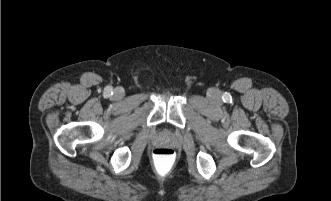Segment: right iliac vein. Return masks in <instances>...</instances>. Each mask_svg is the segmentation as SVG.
Segmentation results:
<instances>
[{
  "instance_id": "63e3f726",
  "label": "right iliac vein",
  "mask_w": 331,
  "mask_h": 201,
  "mask_svg": "<svg viewBox=\"0 0 331 201\" xmlns=\"http://www.w3.org/2000/svg\"><path fill=\"white\" fill-rule=\"evenodd\" d=\"M114 96L117 99H121L124 96V90L120 87L116 88L114 90Z\"/></svg>"
}]
</instances>
